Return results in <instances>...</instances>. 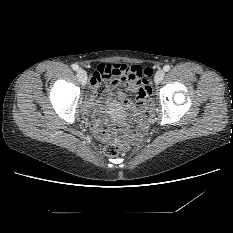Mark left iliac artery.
<instances>
[{
	"mask_svg": "<svg viewBox=\"0 0 233 233\" xmlns=\"http://www.w3.org/2000/svg\"><path fill=\"white\" fill-rule=\"evenodd\" d=\"M163 69H164V71H169L170 70V66L169 65H165L164 67H163Z\"/></svg>",
	"mask_w": 233,
	"mask_h": 233,
	"instance_id": "44dca946",
	"label": "left iliac artery"
}]
</instances>
